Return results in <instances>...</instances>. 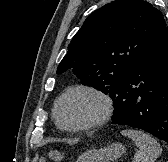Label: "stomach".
Segmentation results:
<instances>
[{"label":"stomach","mask_w":168,"mask_h":162,"mask_svg":"<svg viewBox=\"0 0 168 162\" xmlns=\"http://www.w3.org/2000/svg\"><path fill=\"white\" fill-rule=\"evenodd\" d=\"M124 153L125 147L121 143H112L104 148L86 151L76 162H113Z\"/></svg>","instance_id":"0dacf381"}]
</instances>
